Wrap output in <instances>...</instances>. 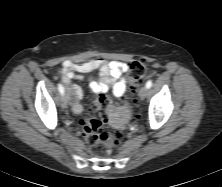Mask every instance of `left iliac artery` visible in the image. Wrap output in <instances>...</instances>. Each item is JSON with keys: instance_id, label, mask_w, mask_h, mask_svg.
Masks as SVG:
<instances>
[{"instance_id": "obj_1", "label": "left iliac artery", "mask_w": 222, "mask_h": 187, "mask_svg": "<svg viewBox=\"0 0 222 187\" xmlns=\"http://www.w3.org/2000/svg\"><path fill=\"white\" fill-rule=\"evenodd\" d=\"M151 86H152V81H151V80L147 81L146 87H147V88H150Z\"/></svg>"}]
</instances>
